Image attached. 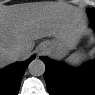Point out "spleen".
Returning <instances> with one entry per match:
<instances>
[{
  "instance_id": "3e777b00",
  "label": "spleen",
  "mask_w": 95,
  "mask_h": 95,
  "mask_svg": "<svg viewBox=\"0 0 95 95\" xmlns=\"http://www.w3.org/2000/svg\"><path fill=\"white\" fill-rule=\"evenodd\" d=\"M87 59L86 54L82 51L72 53L65 61L67 64L78 67Z\"/></svg>"
}]
</instances>
